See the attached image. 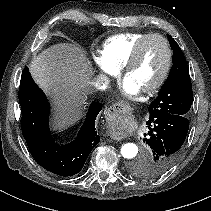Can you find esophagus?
Segmentation results:
<instances>
[{
    "label": "esophagus",
    "mask_w": 211,
    "mask_h": 211,
    "mask_svg": "<svg viewBox=\"0 0 211 211\" xmlns=\"http://www.w3.org/2000/svg\"><path fill=\"white\" fill-rule=\"evenodd\" d=\"M126 107L127 106H125L124 104L118 102V103L111 105L110 108H109V111L110 112L111 111H118V110L124 109ZM110 137H112L113 139H117V137L113 136L112 134L110 135Z\"/></svg>",
    "instance_id": "1"
}]
</instances>
